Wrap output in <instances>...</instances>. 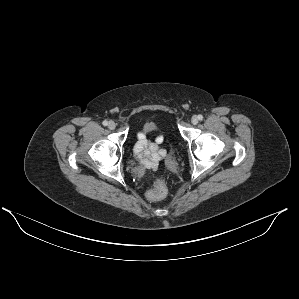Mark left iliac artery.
I'll use <instances>...</instances> for the list:
<instances>
[{
  "label": "left iliac artery",
  "instance_id": "obj_1",
  "mask_svg": "<svg viewBox=\"0 0 299 299\" xmlns=\"http://www.w3.org/2000/svg\"><path fill=\"white\" fill-rule=\"evenodd\" d=\"M198 119L199 120H203V116L202 115H198Z\"/></svg>",
  "mask_w": 299,
  "mask_h": 299
}]
</instances>
